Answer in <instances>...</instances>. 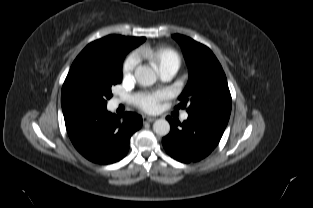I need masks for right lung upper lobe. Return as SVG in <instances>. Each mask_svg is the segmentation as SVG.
<instances>
[{
    "label": "right lung upper lobe",
    "mask_w": 313,
    "mask_h": 208,
    "mask_svg": "<svg viewBox=\"0 0 313 208\" xmlns=\"http://www.w3.org/2000/svg\"><path fill=\"white\" fill-rule=\"evenodd\" d=\"M145 37H125L109 35L88 44L74 60L71 69L93 63H99L107 58L108 50L114 45H121L132 50L145 41Z\"/></svg>",
    "instance_id": "1"
}]
</instances>
